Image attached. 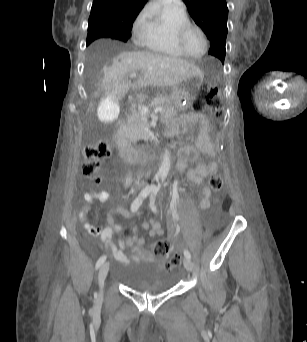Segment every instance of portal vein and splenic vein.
I'll list each match as a JSON object with an SVG mask.
<instances>
[{"label":"portal vein and splenic vein","mask_w":307,"mask_h":342,"mask_svg":"<svg viewBox=\"0 0 307 342\" xmlns=\"http://www.w3.org/2000/svg\"><path fill=\"white\" fill-rule=\"evenodd\" d=\"M137 74H131L130 78H136ZM136 108L140 109V115L142 117H145L147 115V112L149 110L148 105H145L143 102H137L136 103ZM157 112H162V108H156V110H153V114H157Z\"/></svg>","instance_id":"18ae733b"}]
</instances>
